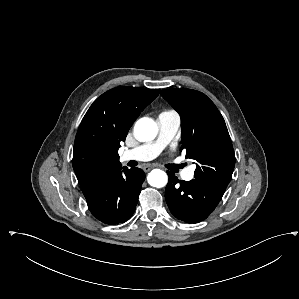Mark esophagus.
Here are the masks:
<instances>
[{"label": "esophagus", "mask_w": 299, "mask_h": 299, "mask_svg": "<svg viewBox=\"0 0 299 299\" xmlns=\"http://www.w3.org/2000/svg\"><path fill=\"white\" fill-rule=\"evenodd\" d=\"M152 168H153V166H151V165H145V166H143L142 169H143L145 172H148V171H150Z\"/></svg>", "instance_id": "1"}]
</instances>
